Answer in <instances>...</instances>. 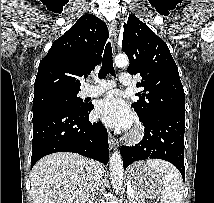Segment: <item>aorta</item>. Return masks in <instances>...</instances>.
Masks as SVG:
<instances>
[{
    "mask_svg": "<svg viewBox=\"0 0 214 203\" xmlns=\"http://www.w3.org/2000/svg\"><path fill=\"white\" fill-rule=\"evenodd\" d=\"M115 65L119 68L126 67L129 64L128 57L124 54H119L114 59ZM123 161L119 151H114L110 157V176L112 187L116 194H118L123 184Z\"/></svg>",
    "mask_w": 214,
    "mask_h": 203,
    "instance_id": "obj_1",
    "label": "aorta"
}]
</instances>
